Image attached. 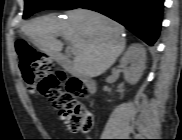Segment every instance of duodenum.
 <instances>
[{
  "label": "duodenum",
  "mask_w": 182,
  "mask_h": 140,
  "mask_svg": "<svg viewBox=\"0 0 182 140\" xmlns=\"http://www.w3.org/2000/svg\"><path fill=\"white\" fill-rule=\"evenodd\" d=\"M51 55L54 56L56 61L62 67H64L66 70H68L70 72H77V70L74 67L73 62L71 61V59L67 55H59L57 53H52ZM81 78H82L83 82L85 83L88 91L90 93H94L95 90H96L95 81L92 78H90L89 76H86V75H81Z\"/></svg>",
  "instance_id": "duodenum-1"
}]
</instances>
